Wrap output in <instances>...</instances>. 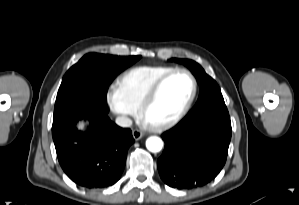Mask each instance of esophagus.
Segmentation results:
<instances>
[{
  "mask_svg": "<svg viewBox=\"0 0 299 205\" xmlns=\"http://www.w3.org/2000/svg\"><path fill=\"white\" fill-rule=\"evenodd\" d=\"M132 135H133V138L137 141L139 139H141L143 137V133L138 130V129H135L132 131Z\"/></svg>",
  "mask_w": 299,
  "mask_h": 205,
  "instance_id": "obj_1",
  "label": "esophagus"
}]
</instances>
